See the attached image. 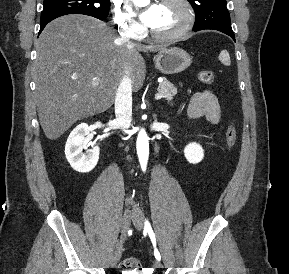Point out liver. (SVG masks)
<instances>
[{"label":"liver","instance_id":"obj_1","mask_svg":"<svg viewBox=\"0 0 289 274\" xmlns=\"http://www.w3.org/2000/svg\"><path fill=\"white\" fill-rule=\"evenodd\" d=\"M163 48L126 44L105 23L86 15H66L49 23L36 44L34 64L45 136L56 140L77 121L109 109L125 73L138 91L146 75L139 52Z\"/></svg>","mask_w":289,"mask_h":274}]
</instances>
